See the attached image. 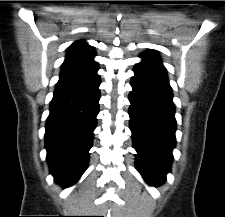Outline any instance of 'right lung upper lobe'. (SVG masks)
I'll return each mask as SVG.
<instances>
[{"label":"right lung upper lobe","mask_w":225,"mask_h":217,"mask_svg":"<svg viewBox=\"0 0 225 217\" xmlns=\"http://www.w3.org/2000/svg\"><path fill=\"white\" fill-rule=\"evenodd\" d=\"M94 56L95 50L84 40L73 43L68 48L57 85L86 82L98 77Z\"/></svg>","instance_id":"right-lung-upper-lobe-1"}]
</instances>
